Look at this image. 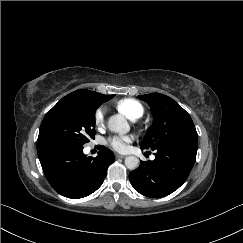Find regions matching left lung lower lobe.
<instances>
[{"label":"left lung lower lobe","instance_id":"0a47b994","mask_svg":"<svg viewBox=\"0 0 243 243\" xmlns=\"http://www.w3.org/2000/svg\"><path fill=\"white\" fill-rule=\"evenodd\" d=\"M197 147V136L183 137L160 145L155 149L153 161H141L139 168L130 172L132 186L151 198L171 194L187 179L196 160Z\"/></svg>","mask_w":243,"mask_h":243}]
</instances>
